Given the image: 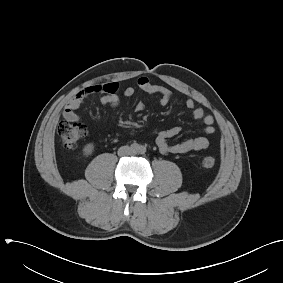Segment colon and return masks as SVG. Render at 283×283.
Wrapping results in <instances>:
<instances>
[{"instance_id":"obj_1","label":"colon","mask_w":283,"mask_h":283,"mask_svg":"<svg viewBox=\"0 0 283 283\" xmlns=\"http://www.w3.org/2000/svg\"><path fill=\"white\" fill-rule=\"evenodd\" d=\"M58 134L63 146L67 149H73L77 146L79 140L85 136L86 127L79 122H61L58 126ZM216 160L212 156H204L201 160L203 168H213Z\"/></svg>"}]
</instances>
